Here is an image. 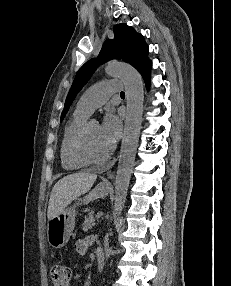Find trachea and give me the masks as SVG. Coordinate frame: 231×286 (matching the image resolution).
<instances>
[{"label":"trachea","mask_w":231,"mask_h":286,"mask_svg":"<svg viewBox=\"0 0 231 286\" xmlns=\"http://www.w3.org/2000/svg\"><path fill=\"white\" fill-rule=\"evenodd\" d=\"M120 95L124 96V95H125V93H124V92H121V93H120Z\"/></svg>","instance_id":"1"}]
</instances>
